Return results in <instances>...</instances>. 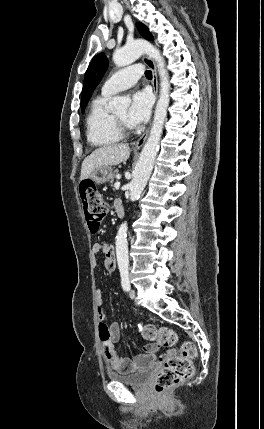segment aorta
I'll use <instances>...</instances> for the list:
<instances>
[{
    "label": "aorta",
    "instance_id": "762f6f07",
    "mask_svg": "<svg viewBox=\"0 0 264 429\" xmlns=\"http://www.w3.org/2000/svg\"><path fill=\"white\" fill-rule=\"evenodd\" d=\"M143 54L149 55L157 63L160 76V95L149 137L142 149L134 169L133 178L129 184L131 200H135L140 196L152 172L170 102V83L168 72L165 69V61L160 51L154 45L142 39L132 41L124 47L115 50L113 61L116 66L124 67L133 63ZM130 102L131 100L128 97L117 96L113 98L111 104L114 109H123L127 108ZM127 230V223H122L116 236V256L120 270L127 269L129 266Z\"/></svg>",
    "mask_w": 264,
    "mask_h": 429
}]
</instances>
